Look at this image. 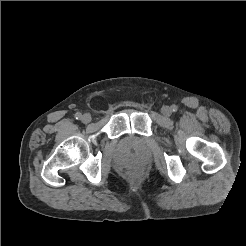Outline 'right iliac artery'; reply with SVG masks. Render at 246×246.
<instances>
[{
	"mask_svg": "<svg viewBox=\"0 0 246 246\" xmlns=\"http://www.w3.org/2000/svg\"><path fill=\"white\" fill-rule=\"evenodd\" d=\"M75 118H76L77 120H80V119L82 118V114H81V113H76V114H75Z\"/></svg>",
	"mask_w": 246,
	"mask_h": 246,
	"instance_id": "1",
	"label": "right iliac artery"
}]
</instances>
